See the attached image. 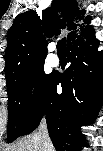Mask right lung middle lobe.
Segmentation results:
<instances>
[{
  "label": "right lung middle lobe",
  "instance_id": "dd1d6c3e",
  "mask_svg": "<svg viewBox=\"0 0 103 151\" xmlns=\"http://www.w3.org/2000/svg\"><path fill=\"white\" fill-rule=\"evenodd\" d=\"M43 64L32 66L21 73L7 87L8 126L7 142L11 143L26 131L37 115L54 73L45 74ZM34 88V93L32 90Z\"/></svg>",
  "mask_w": 103,
  "mask_h": 151
}]
</instances>
